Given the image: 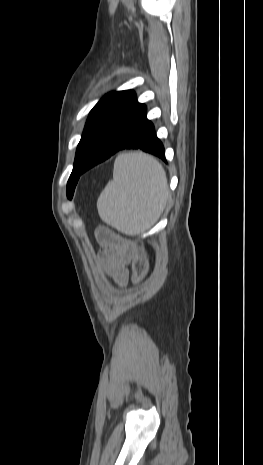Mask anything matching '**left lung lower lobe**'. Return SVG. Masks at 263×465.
Segmentation results:
<instances>
[{"label": "left lung lower lobe", "instance_id": "left-lung-lower-lobe-1", "mask_svg": "<svg viewBox=\"0 0 263 465\" xmlns=\"http://www.w3.org/2000/svg\"><path fill=\"white\" fill-rule=\"evenodd\" d=\"M122 149H141L166 162L165 150L157 138L146 107L135 98L106 128L81 171L95 166Z\"/></svg>", "mask_w": 263, "mask_h": 465}]
</instances>
